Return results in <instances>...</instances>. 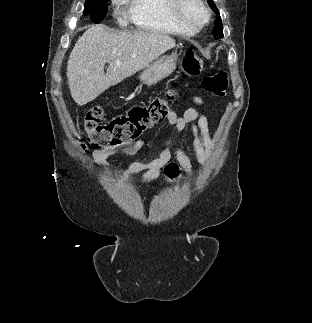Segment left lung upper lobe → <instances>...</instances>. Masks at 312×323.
<instances>
[{"label":"left lung upper lobe","instance_id":"1","mask_svg":"<svg viewBox=\"0 0 312 323\" xmlns=\"http://www.w3.org/2000/svg\"><path fill=\"white\" fill-rule=\"evenodd\" d=\"M208 4L210 6V8L217 14H219L218 9L215 5V3L213 2V0H207ZM215 27L213 30V36L215 38H220L223 37V26H222V22H221V18L220 16L215 20Z\"/></svg>","mask_w":312,"mask_h":323}]
</instances>
